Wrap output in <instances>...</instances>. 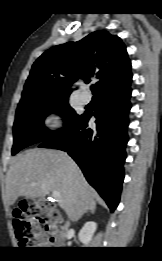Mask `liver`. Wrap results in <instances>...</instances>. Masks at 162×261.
<instances>
[{
    "label": "liver",
    "instance_id": "liver-1",
    "mask_svg": "<svg viewBox=\"0 0 162 261\" xmlns=\"http://www.w3.org/2000/svg\"><path fill=\"white\" fill-rule=\"evenodd\" d=\"M54 191L60 193L58 204L72 221L95 210L97 193L77 164L62 151L33 148L10 166L3 200L10 206L20 196L41 198Z\"/></svg>",
    "mask_w": 162,
    "mask_h": 261
}]
</instances>
